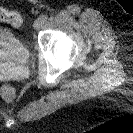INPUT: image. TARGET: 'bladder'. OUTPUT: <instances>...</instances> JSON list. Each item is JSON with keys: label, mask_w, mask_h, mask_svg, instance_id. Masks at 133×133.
Segmentation results:
<instances>
[{"label": "bladder", "mask_w": 133, "mask_h": 133, "mask_svg": "<svg viewBox=\"0 0 133 133\" xmlns=\"http://www.w3.org/2000/svg\"><path fill=\"white\" fill-rule=\"evenodd\" d=\"M28 46L6 27H0V63H26L30 58Z\"/></svg>", "instance_id": "31cf9c89"}]
</instances>
